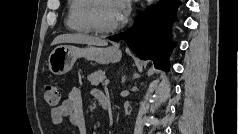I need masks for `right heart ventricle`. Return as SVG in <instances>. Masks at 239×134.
<instances>
[{
  "instance_id": "right-heart-ventricle-1",
  "label": "right heart ventricle",
  "mask_w": 239,
  "mask_h": 134,
  "mask_svg": "<svg viewBox=\"0 0 239 134\" xmlns=\"http://www.w3.org/2000/svg\"><path fill=\"white\" fill-rule=\"evenodd\" d=\"M90 0H72L69 3L66 25L77 33H90L92 31L86 19V11Z\"/></svg>"
}]
</instances>
